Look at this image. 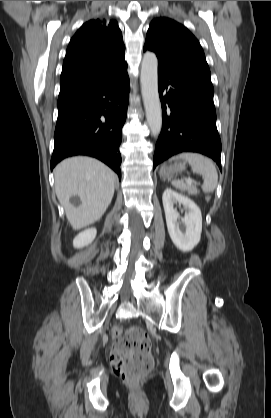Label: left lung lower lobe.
<instances>
[{
  "instance_id": "0a47b994",
  "label": "left lung lower lobe",
  "mask_w": 271,
  "mask_h": 418,
  "mask_svg": "<svg viewBox=\"0 0 271 418\" xmlns=\"http://www.w3.org/2000/svg\"><path fill=\"white\" fill-rule=\"evenodd\" d=\"M158 89L163 123L156 143L154 168L174 154L198 152L211 157L221 170V141L211 81L158 61Z\"/></svg>"
}]
</instances>
